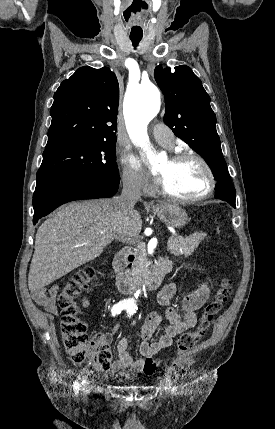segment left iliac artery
<instances>
[{"label":"left iliac artery","instance_id":"1","mask_svg":"<svg viewBox=\"0 0 275 429\" xmlns=\"http://www.w3.org/2000/svg\"><path fill=\"white\" fill-rule=\"evenodd\" d=\"M134 312H135V309L133 307H128L127 308L128 315H132Z\"/></svg>","mask_w":275,"mask_h":429}]
</instances>
